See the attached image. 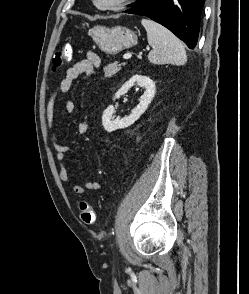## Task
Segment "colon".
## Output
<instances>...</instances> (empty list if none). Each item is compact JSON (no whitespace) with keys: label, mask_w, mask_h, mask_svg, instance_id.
<instances>
[{"label":"colon","mask_w":249,"mask_h":294,"mask_svg":"<svg viewBox=\"0 0 249 294\" xmlns=\"http://www.w3.org/2000/svg\"><path fill=\"white\" fill-rule=\"evenodd\" d=\"M72 55V47L69 44L61 46L55 53L53 59V67L61 68L70 62ZM79 215L81 221L86 225H92L96 221V213L93 207L86 201H81L79 204Z\"/></svg>","instance_id":"obj_1"}]
</instances>
